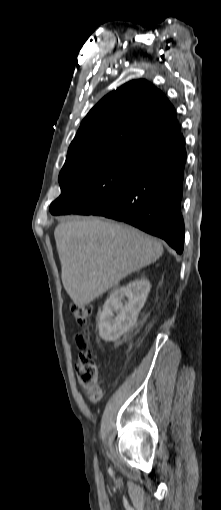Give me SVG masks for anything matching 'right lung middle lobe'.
<instances>
[{
	"instance_id": "right-lung-middle-lobe-1",
	"label": "right lung middle lobe",
	"mask_w": 221,
	"mask_h": 510,
	"mask_svg": "<svg viewBox=\"0 0 221 510\" xmlns=\"http://www.w3.org/2000/svg\"><path fill=\"white\" fill-rule=\"evenodd\" d=\"M149 152L127 146L66 161L59 174L61 195L51 203L50 212L69 214L110 203L127 188Z\"/></svg>"
}]
</instances>
